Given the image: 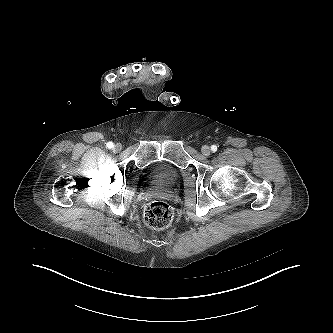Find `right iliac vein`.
Masks as SVG:
<instances>
[{
	"label": "right iliac vein",
	"instance_id": "obj_1",
	"mask_svg": "<svg viewBox=\"0 0 333 333\" xmlns=\"http://www.w3.org/2000/svg\"><path fill=\"white\" fill-rule=\"evenodd\" d=\"M121 149H122L121 144H116V145L114 146V148H113V150H114L115 152H119Z\"/></svg>",
	"mask_w": 333,
	"mask_h": 333
}]
</instances>
